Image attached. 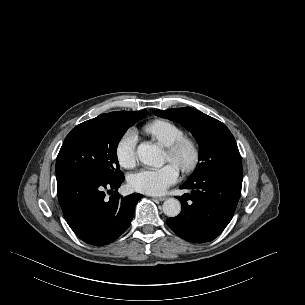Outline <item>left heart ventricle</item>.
<instances>
[{"mask_svg": "<svg viewBox=\"0 0 305 305\" xmlns=\"http://www.w3.org/2000/svg\"><path fill=\"white\" fill-rule=\"evenodd\" d=\"M166 160L171 161L168 153H166Z\"/></svg>", "mask_w": 305, "mask_h": 305, "instance_id": "left-heart-ventricle-1", "label": "left heart ventricle"}]
</instances>
